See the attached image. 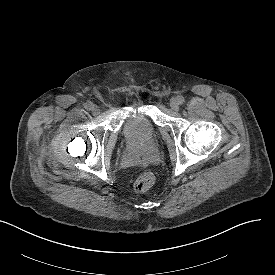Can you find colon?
<instances>
[{"label": "colon", "instance_id": "1", "mask_svg": "<svg viewBox=\"0 0 275 275\" xmlns=\"http://www.w3.org/2000/svg\"><path fill=\"white\" fill-rule=\"evenodd\" d=\"M155 177L150 171H143L140 173L134 182V190L136 193L142 194L148 191L154 184Z\"/></svg>", "mask_w": 275, "mask_h": 275}]
</instances>
